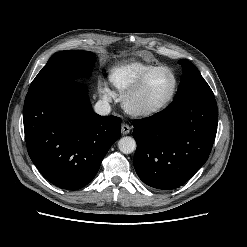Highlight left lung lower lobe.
I'll return each mask as SVG.
<instances>
[{"instance_id":"left-lung-lower-lobe-1","label":"left lung lower lobe","mask_w":247,"mask_h":247,"mask_svg":"<svg viewBox=\"0 0 247 247\" xmlns=\"http://www.w3.org/2000/svg\"><path fill=\"white\" fill-rule=\"evenodd\" d=\"M217 123L213 92L185 94L161 112L134 120V168L139 178L162 190L183 185L208 159Z\"/></svg>"}]
</instances>
